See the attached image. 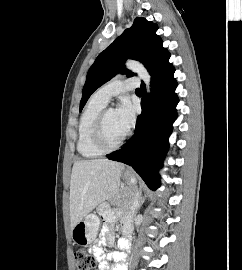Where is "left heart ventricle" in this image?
Returning a JSON list of instances; mask_svg holds the SVG:
<instances>
[{
  "mask_svg": "<svg viewBox=\"0 0 242 270\" xmlns=\"http://www.w3.org/2000/svg\"><path fill=\"white\" fill-rule=\"evenodd\" d=\"M126 133L121 125L117 113L114 109L110 110L105 122V139L108 144H115Z\"/></svg>",
  "mask_w": 242,
  "mask_h": 270,
  "instance_id": "1",
  "label": "left heart ventricle"
}]
</instances>
